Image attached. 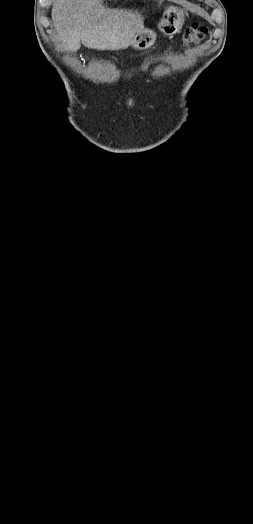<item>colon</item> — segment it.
Returning <instances> with one entry per match:
<instances>
[{"label": "colon", "instance_id": "1", "mask_svg": "<svg viewBox=\"0 0 253 524\" xmlns=\"http://www.w3.org/2000/svg\"><path fill=\"white\" fill-rule=\"evenodd\" d=\"M207 28L201 24L194 23L186 29L184 43L186 45H197L204 40Z\"/></svg>", "mask_w": 253, "mask_h": 524}]
</instances>
